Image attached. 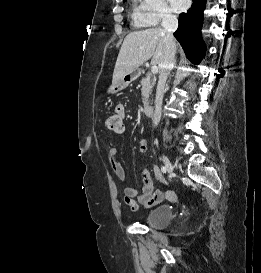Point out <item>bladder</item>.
I'll return each mask as SVG.
<instances>
[{"mask_svg":"<svg viewBox=\"0 0 261 273\" xmlns=\"http://www.w3.org/2000/svg\"><path fill=\"white\" fill-rule=\"evenodd\" d=\"M172 208L162 204L153 208L145 217L144 223L153 228H163L172 220Z\"/></svg>","mask_w":261,"mask_h":273,"instance_id":"bladder-1","label":"bladder"}]
</instances>
